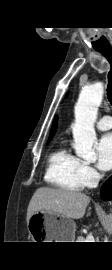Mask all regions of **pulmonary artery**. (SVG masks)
Listing matches in <instances>:
<instances>
[{
  "instance_id": "pulmonary-artery-1",
  "label": "pulmonary artery",
  "mask_w": 112,
  "mask_h": 270,
  "mask_svg": "<svg viewBox=\"0 0 112 270\" xmlns=\"http://www.w3.org/2000/svg\"><path fill=\"white\" fill-rule=\"evenodd\" d=\"M96 127L100 130H109L112 128V117L104 116L97 123Z\"/></svg>"
}]
</instances>
